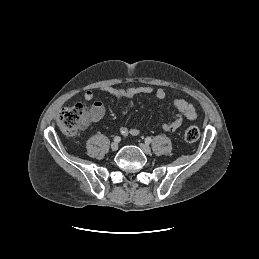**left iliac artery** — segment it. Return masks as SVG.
Masks as SVG:
<instances>
[{"label":"left iliac artery","instance_id":"left-iliac-artery-1","mask_svg":"<svg viewBox=\"0 0 259 259\" xmlns=\"http://www.w3.org/2000/svg\"><path fill=\"white\" fill-rule=\"evenodd\" d=\"M151 141H152V139H151L150 137H147V138L145 139V142L148 143V144L151 143Z\"/></svg>","mask_w":259,"mask_h":259}]
</instances>
